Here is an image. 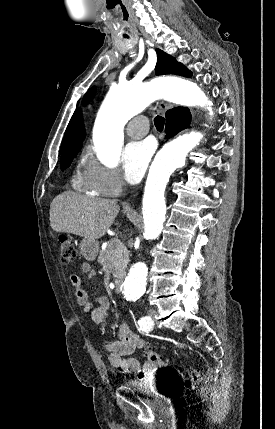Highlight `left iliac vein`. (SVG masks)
<instances>
[{
    "label": "left iliac vein",
    "mask_w": 275,
    "mask_h": 429,
    "mask_svg": "<svg viewBox=\"0 0 275 429\" xmlns=\"http://www.w3.org/2000/svg\"><path fill=\"white\" fill-rule=\"evenodd\" d=\"M156 310L155 309H149L148 310V317L152 320L155 317Z\"/></svg>",
    "instance_id": "1"
}]
</instances>
